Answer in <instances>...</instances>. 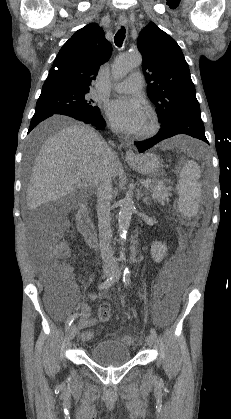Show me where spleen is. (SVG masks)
Wrapping results in <instances>:
<instances>
[{
  "mask_svg": "<svg viewBox=\"0 0 231 419\" xmlns=\"http://www.w3.org/2000/svg\"><path fill=\"white\" fill-rule=\"evenodd\" d=\"M200 176L199 166L192 160L186 162L180 171L178 207L186 217H193L198 212V203L201 196V184L198 182Z\"/></svg>",
  "mask_w": 231,
  "mask_h": 419,
  "instance_id": "3e777b00",
  "label": "spleen"
}]
</instances>
